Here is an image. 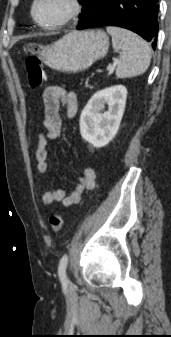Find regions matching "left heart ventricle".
<instances>
[{"mask_svg":"<svg viewBox=\"0 0 171 337\" xmlns=\"http://www.w3.org/2000/svg\"><path fill=\"white\" fill-rule=\"evenodd\" d=\"M69 11L67 0H40L36 7V17L44 23L61 21Z\"/></svg>","mask_w":171,"mask_h":337,"instance_id":"1","label":"left heart ventricle"}]
</instances>
